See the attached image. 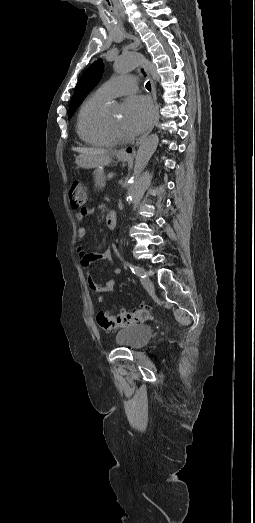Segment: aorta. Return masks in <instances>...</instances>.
Wrapping results in <instances>:
<instances>
[{
    "instance_id": "obj_1",
    "label": "aorta",
    "mask_w": 255,
    "mask_h": 523,
    "mask_svg": "<svg viewBox=\"0 0 255 523\" xmlns=\"http://www.w3.org/2000/svg\"><path fill=\"white\" fill-rule=\"evenodd\" d=\"M140 65H145L147 67L149 73L152 75V77L156 81H159V76L156 72V67L152 63H150L142 54L136 53V52L126 53V54L118 57L114 63V70L118 74H125ZM112 108L113 109L118 108L117 102H113ZM158 143H159L158 136L156 134H152V135L148 136L147 138H145L143 140V142L141 143V145L139 146V149L135 156L133 174L128 183V192H127V196H126V201L131 199V195L138 184L140 175L143 172V170L145 169V167L147 166L150 158L156 151Z\"/></svg>"
}]
</instances>
